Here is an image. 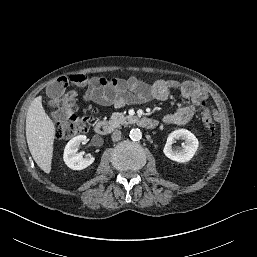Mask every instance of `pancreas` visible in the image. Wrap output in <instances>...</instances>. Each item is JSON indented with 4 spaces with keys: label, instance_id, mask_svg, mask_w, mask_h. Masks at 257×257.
<instances>
[{
    "label": "pancreas",
    "instance_id": "pancreas-1",
    "mask_svg": "<svg viewBox=\"0 0 257 257\" xmlns=\"http://www.w3.org/2000/svg\"><path fill=\"white\" fill-rule=\"evenodd\" d=\"M133 119H134V117H131L129 115H124L123 113L114 112L111 115V118L109 120V124L112 127L117 128L121 125H125L127 123L132 122Z\"/></svg>",
    "mask_w": 257,
    "mask_h": 257
}]
</instances>
